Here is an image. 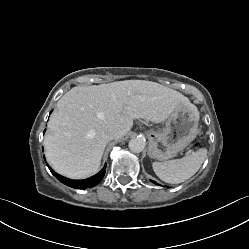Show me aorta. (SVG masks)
<instances>
[{
    "label": "aorta",
    "mask_w": 249,
    "mask_h": 249,
    "mask_svg": "<svg viewBox=\"0 0 249 249\" xmlns=\"http://www.w3.org/2000/svg\"><path fill=\"white\" fill-rule=\"evenodd\" d=\"M145 139L141 137L133 138L129 141V149L131 152L140 153L145 148Z\"/></svg>",
    "instance_id": "obj_1"
}]
</instances>
